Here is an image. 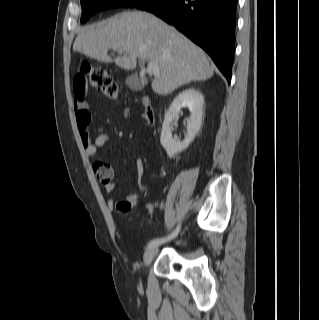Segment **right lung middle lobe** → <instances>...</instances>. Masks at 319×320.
Listing matches in <instances>:
<instances>
[{
    "instance_id": "1",
    "label": "right lung middle lobe",
    "mask_w": 319,
    "mask_h": 320,
    "mask_svg": "<svg viewBox=\"0 0 319 320\" xmlns=\"http://www.w3.org/2000/svg\"><path fill=\"white\" fill-rule=\"evenodd\" d=\"M152 0H81V22H86L91 15L101 10L117 7H137Z\"/></svg>"
}]
</instances>
